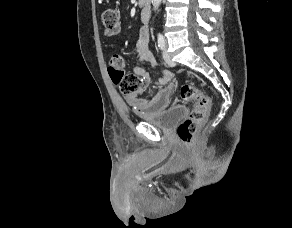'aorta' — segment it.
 <instances>
[{
  "label": "aorta",
  "mask_w": 292,
  "mask_h": 228,
  "mask_svg": "<svg viewBox=\"0 0 292 228\" xmlns=\"http://www.w3.org/2000/svg\"><path fill=\"white\" fill-rule=\"evenodd\" d=\"M161 1L162 0H152V4H153V7H154V10L158 9Z\"/></svg>",
  "instance_id": "1"
}]
</instances>
